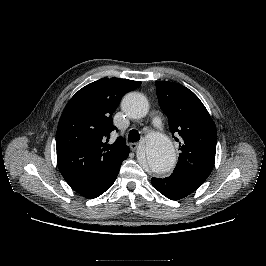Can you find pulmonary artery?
<instances>
[{"mask_svg":"<svg viewBox=\"0 0 266 266\" xmlns=\"http://www.w3.org/2000/svg\"><path fill=\"white\" fill-rule=\"evenodd\" d=\"M153 123H154V125H155L157 128H161V122H160L159 119H155V120L153 121Z\"/></svg>","mask_w":266,"mask_h":266,"instance_id":"obj_1","label":"pulmonary artery"}]
</instances>
